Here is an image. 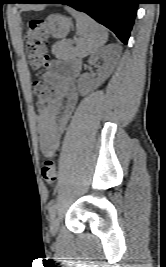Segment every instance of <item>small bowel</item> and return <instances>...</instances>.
Here are the masks:
<instances>
[{
	"label": "small bowel",
	"instance_id": "obj_1",
	"mask_svg": "<svg viewBox=\"0 0 166 267\" xmlns=\"http://www.w3.org/2000/svg\"><path fill=\"white\" fill-rule=\"evenodd\" d=\"M77 74L76 67L53 60L43 75L44 80L58 91L56 100L37 113L39 145L44 154L51 155L57 150L60 137L77 103L78 93L74 85Z\"/></svg>",
	"mask_w": 166,
	"mask_h": 267
}]
</instances>
